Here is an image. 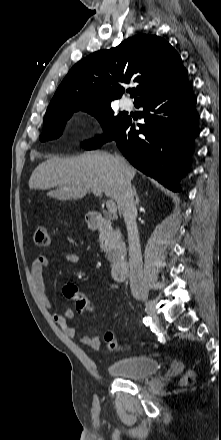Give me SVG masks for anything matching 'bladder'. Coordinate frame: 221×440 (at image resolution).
<instances>
[{
    "instance_id": "bladder-1",
    "label": "bladder",
    "mask_w": 221,
    "mask_h": 440,
    "mask_svg": "<svg viewBox=\"0 0 221 440\" xmlns=\"http://www.w3.org/2000/svg\"><path fill=\"white\" fill-rule=\"evenodd\" d=\"M159 367L157 358L138 355L111 362L107 372L118 378L141 380L156 374Z\"/></svg>"
}]
</instances>
